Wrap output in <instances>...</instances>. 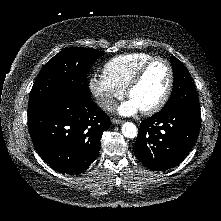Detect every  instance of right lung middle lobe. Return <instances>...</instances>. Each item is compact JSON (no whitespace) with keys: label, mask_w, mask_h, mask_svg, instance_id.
<instances>
[{"label":"right lung middle lobe","mask_w":221,"mask_h":221,"mask_svg":"<svg viewBox=\"0 0 221 221\" xmlns=\"http://www.w3.org/2000/svg\"><path fill=\"white\" fill-rule=\"evenodd\" d=\"M104 52L96 49L71 47L51 58L41 69L29 96L28 113L46 99L66 90L90 94L87 73Z\"/></svg>","instance_id":"dd1d6c3e"}]
</instances>
